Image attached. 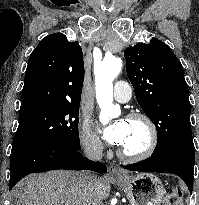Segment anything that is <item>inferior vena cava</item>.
<instances>
[{"instance_id":"inferior-vena-cava-1","label":"inferior vena cava","mask_w":199,"mask_h":205,"mask_svg":"<svg viewBox=\"0 0 199 205\" xmlns=\"http://www.w3.org/2000/svg\"><path fill=\"white\" fill-rule=\"evenodd\" d=\"M103 145L100 141L95 140L91 142L85 148V155L94 161H99L102 158ZM82 179L85 183L86 188L95 195V185H96V176L92 175L90 172L82 173ZM92 205H101V201L95 197Z\"/></svg>"}]
</instances>
